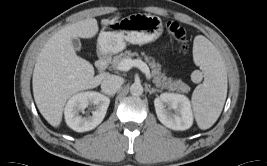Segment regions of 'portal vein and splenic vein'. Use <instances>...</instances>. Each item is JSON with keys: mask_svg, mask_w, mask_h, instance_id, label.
<instances>
[{"mask_svg": "<svg viewBox=\"0 0 267 166\" xmlns=\"http://www.w3.org/2000/svg\"><path fill=\"white\" fill-rule=\"evenodd\" d=\"M132 67H137L146 75V78L148 80L151 79L149 67L147 66L145 62H143L140 59H124L123 61L120 62L118 69L120 71H128Z\"/></svg>", "mask_w": 267, "mask_h": 166, "instance_id": "18ae733b", "label": "portal vein and splenic vein"}]
</instances>
